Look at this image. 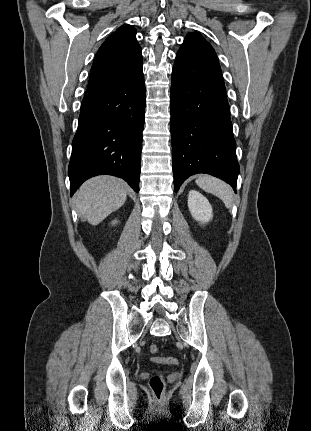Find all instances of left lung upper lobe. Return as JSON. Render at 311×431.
<instances>
[{
    "mask_svg": "<svg viewBox=\"0 0 311 431\" xmlns=\"http://www.w3.org/2000/svg\"><path fill=\"white\" fill-rule=\"evenodd\" d=\"M180 50L192 52L218 61L212 46L197 32L187 34Z\"/></svg>",
    "mask_w": 311,
    "mask_h": 431,
    "instance_id": "left-lung-upper-lobe-1",
    "label": "left lung upper lobe"
}]
</instances>
